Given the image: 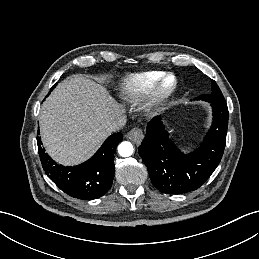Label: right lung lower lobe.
Here are the masks:
<instances>
[{"label":"right lung lower lobe","instance_id":"right-lung-lower-lobe-1","mask_svg":"<svg viewBox=\"0 0 259 259\" xmlns=\"http://www.w3.org/2000/svg\"><path fill=\"white\" fill-rule=\"evenodd\" d=\"M122 134L110 136L88 161L73 167L57 164L45 153L37 136L38 152L45 173L66 194L77 199L91 200L103 196L114 177V156Z\"/></svg>","mask_w":259,"mask_h":259}]
</instances>
